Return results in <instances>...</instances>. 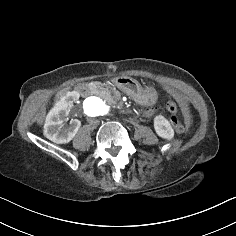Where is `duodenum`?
<instances>
[{"label":"duodenum","instance_id":"duodenum-1","mask_svg":"<svg viewBox=\"0 0 236 236\" xmlns=\"http://www.w3.org/2000/svg\"><path fill=\"white\" fill-rule=\"evenodd\" d=\"M114 83H118V80L117 79H114L113 80ZM78 92L80 93V95L82 96H88L91 92V87L89 84L87 83H84V84H81L79 87H78Z\"/></svg>","mask_w":236,"mask_h":236}]
</instances>
